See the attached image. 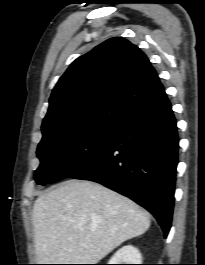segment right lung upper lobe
<instances>
[{
    "mask_svg": "<svg viewBox=\"0 0 205 265\" xmlns=\"http://www.w3.org/2000/svg\"><path fill=\"white\" fill-rule=\"evenodd\" d=\"M165 93L146 55L121 37L77 58L49 99L42 132H66L97 122L120 124Z\"/></svg>",
    "mask_w": 205,
    "mask_h": 265,
    "instance_id": "obj_1",
    "label": "right lung upper lobe"
}]
</instances>
